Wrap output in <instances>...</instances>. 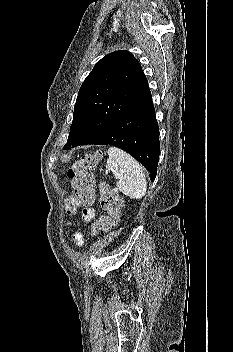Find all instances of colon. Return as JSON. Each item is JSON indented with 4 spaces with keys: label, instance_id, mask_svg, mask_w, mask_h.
<instances>
[{
    "label": "colon",
    "instance_id": "obj_1",
    "mask_svg": "<svg viewBox=\"0 0 233 352\" xmlns=\"http://www.w3.org/2000/svg\"><path fill=\"white\" fill-rule=\"evenodd\" d=\"M100 160L99 153L84 154L68 170V178L74 189V196L65 200V209L73 214L77 206H90L95 201L94 177L91 173ZM100 205L104 212L93 224L92 234L108 232L120 218L122 199L107 184L100 185Z\"/></svg>",
    "mask_w": 233,
    "mask_h": 352
}]
</instances>
